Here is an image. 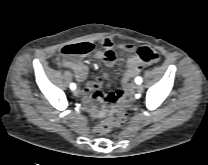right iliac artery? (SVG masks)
I'll use <instances>...</instances> for the list:
<instances>
[{"label": "right iliac artery", "mask_w": 208, "mask_h": 165, "mask_svg": "<svg viewBox=\"0 0 208 165\" xmlns=\"http://www.w3.org/2000/svg\"><path fill=\"white\" fill-rule=\"evenodd\" d=\"M70 88H71L72 90H74V89L76 88V85H75L74 83H72V84L70 85Z\"/></svg>", "instance_id": "1"}]
</instances>
